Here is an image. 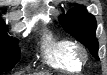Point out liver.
I'll return each mask as SVG.
<instances>
[{"mask_svg": "<svg viewBox=\"0 0 107 75\" xmlns=\"http://www.w3.org/2000/svg\"><path fill=\"white\" fill-rule=\"evenodd\" d=\"M34 75H50L48 72L45 73H38V74H34Z\"/></svg>", "mask_w": 107, "mask_h": 75, "instance_id": "liver-1", "label": "liver"}]
</instances>
